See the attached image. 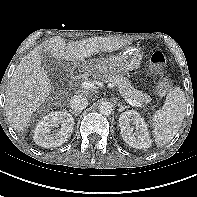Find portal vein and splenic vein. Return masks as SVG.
Wrapping results in <instances>:
<instances>
[{"label":"portal vein and splenic vein","mask_w":197,"mask_h":197,"mask_svg":"<svg viewBox=\"0 0 197 197\" xmlns=\"http://www.w3.org/2000/svg\"><path fill=\"white\" fill-rule=\"evenodd\" d=\"M81 85H82L83 89L90 90V89H92L94 87V82H92V81H85ZM125 101L127 103H129L130 105L136 106V107H140L142 105V102L136 101V100H131L129 98H125Z\"/></svg>","instance_id":"obj_1"}]
</instances>
